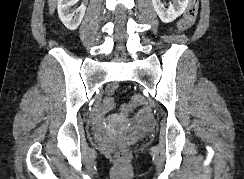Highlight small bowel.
Instances as JSON below:
<instances>
[{
	"label": "small bowel",
	"instance_id": "obj_1",
	"mask_svg": "<svg viewBox=\"0 0 244 179\" xmlns=\"http://www.w3.org/2000/svg\"><path fill=\"white\" fill-rule=\"evenodd\" d=\"M151 117L148 116V112L144 110L139 116L138 126H151Z\"/></svg>",
	"mask_w": 244,
	"mask_h": 179
}]
</instances>
